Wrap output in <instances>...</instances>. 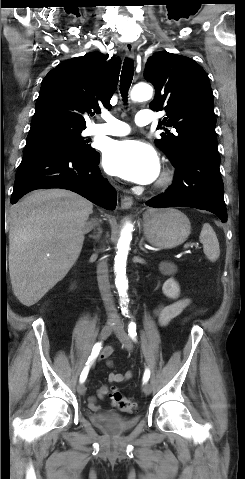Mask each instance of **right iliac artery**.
I'll return each mask as SVG.
<instances>
[{"instance_id": "82829eb1", "label": "right iliac artery", "mask_w": 245, "mask_h": 479, "mask_svg": "<svg viewBox=\"0 0 245 479\" xmlns=\"http://www.w3.org/2000/svg\"><path fill=\"white\" fill-rule=\"evenodd\" d=\"M101 342L99 343H96L92 349V353L91 355L89 356L88 358V361L86 362V366L84 367L81 375H80V382L83 383L86 378H87V375H88V372H89V368L92 364V362L96 359V357L98 356L100 350H101Z\"/></svg>"}]
</instances>
